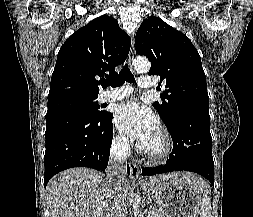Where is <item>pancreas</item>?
<instances>
[{
  "label": "pancreas",
  "mask_w": 253,
  "mask_h": 217,
  "mask_svg": "<svg viewBox=\"0 0 253 217\" xmlns=\"http://www.w3.org/2000/svg\"><path fill=\"white\" fill-rule=\"evenodd\" d=\"M151 212L153 213V217H164L162 212L157 208L153 209Z\"/></svg>",
  "instance_id": "cf45deb5"
}]
</instances>
